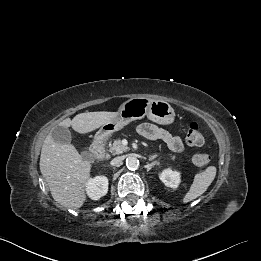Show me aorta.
<instances>
[{"instance_id":"762f6f07","label":"aorta","mask_w":261,"mask_h":261,"mask_svg":"<svg viewBox=\"0 0 261 261\" xmlns=\"http://www.w3.org/2000/svg\"><path fill=\"white\" fill-rule=\"evenodd\" d=\"M126 165L130 170H136L139 167V160L133 155H129L126 158Z\"/></svg>"}]
</instances>
